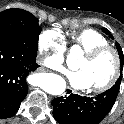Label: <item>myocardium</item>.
<instances>
[{"mask_svg": "<svg viewBox=\"0 0 124 124\" xmlns=\"http://www.w3.org/2000/svg\"><path fill=\"white\" fill-rule=\"evenodd\" d=\"M105 52H111L114 58V71L110 79L103 85L91 88L90 91L96 94H100L111 89L119 80L122 74V60L119 52L111 45H101L93 47L84 52L83 57L87 59H95Z\"/></svg>", "mask_w": 124, "mask_h": 124, "instance_id": "myocardium-1", "label": "myocardium"}]
</instances>
